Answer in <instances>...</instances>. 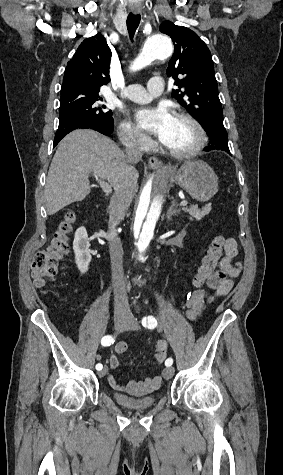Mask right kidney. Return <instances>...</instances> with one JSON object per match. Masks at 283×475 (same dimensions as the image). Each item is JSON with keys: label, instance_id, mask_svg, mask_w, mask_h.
I'll use <instances>...</instances> for the list:
<instances>
[{"label": "right kidney", "instance_id": "1", "mask_svg": "<svg viewBox=\"0 0 283 475\" xmlns=\"http://www.w3.org/2000/svg\"><path fill=\"white\" fill-rule=\"evenodd\" d=\"M88 239V234L84 226H81V228H78V230H76L73 241V249L75 253V261L81 273H85V271H88L89 263L92 259L91 253L89 251L90 243Z\"/></svg>", "mask_w": 283, "mask_h": 475}]
</instances>
